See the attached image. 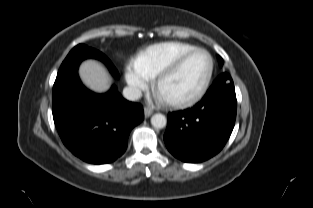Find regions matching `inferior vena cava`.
Here are the masks:
<instances>
[{"label":"inferior vena cava","mask_w":313,"mask_h":208,"mask_svg":"<svg viewBox=\"0 0 313 208\" xmlns=\"http://www.w3.org/2000/svg\"><path fill=\"white\" fill-rule=\"evenodd\" d=\"M123 96L127 100L136 101L142 96V92L135 86H128L123 89Z\"/></svg>","instance_id":"inferior-vena-cava-1"}]
</instances>
